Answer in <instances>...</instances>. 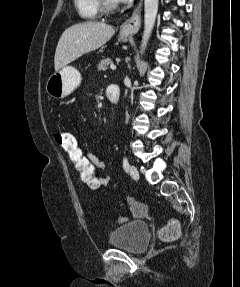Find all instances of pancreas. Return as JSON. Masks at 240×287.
I'll use <instances>...</instances> for the list:
<instances>
[{"label":"pancreas","instance_id":"pancreas-1","mask_svg":"<svg viewBox=\"0 0 240 287\" xmlns=\"http://www.w3.org/2000/svg\"><path fill=\"white\" fill-rule=\"evenodd\" d=\"M112 60L109 58L103 59L100 61V63L97 65V70L98 71H106L107 70V66L112 64Z\"/></svg>","mask_w":240,"mask_h":287}]
</instances>
